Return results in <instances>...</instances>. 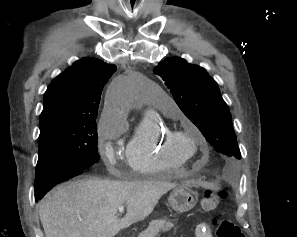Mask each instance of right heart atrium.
I'll list each match as a JSON object with an SVG mask.
<instances>
[{
	"mask_svg": "<svg viewBox=\"0 0 297 237\" xmlns=\"http://www.w3.org/2000/svg\"><path fill=\"white\" fill-rule=\"evenodd\" d=\"M123 129L120 118L111 109H105L98 125L99 151L106 165L113 169L121 156L117 140Z\"/></svg>",
	"mask_w": 297,
	"mask_h": 237,
	"instance_id": "obj_1",
	"label": "right heart atrium"
}]
</instances>
